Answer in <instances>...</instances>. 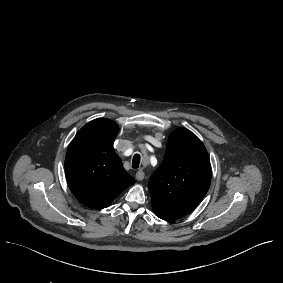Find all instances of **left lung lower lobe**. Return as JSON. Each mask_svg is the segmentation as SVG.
Masks as SVG:
<instances>
[{"label": "left lung lower lobe", "mask_w": 283, "mask_h": 283, "mask_svg": "<svg viewBox=\"0 0 283 283\" xmlns=\"http://www.w3.org/2000/svg\"><path fill=\"white\" fill-rule=\"evenodd\" d=\"M153 211L156 216H158L159 218L163 220H168V221L179 219L186 215L183 213L172 212V211H167V210H153Z\"/></svg>", "instance_id": "0a47b994"}]
</instances>
